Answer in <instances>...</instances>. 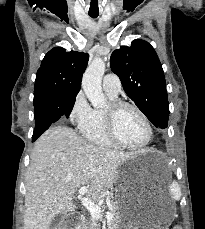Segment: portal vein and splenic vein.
Listing matches in <instances>:
<instances>
[{
    "label": "portal vein and splenic vein",
    "instance_id": "1",
    "mask_svg": "<svg viewBox=\"0 0 205 229\" xmlns=\"http://www.w3.org/2000/svg\"><path fill=\"white\" fill-rule=\"evenodd\" d=\"M88 191V186H83L79 189V195L83 196L84 194H86ZM81 202L82 204L88 209V211L90 212V215L93 219H99L101 216V208L100 206H98L97 204H95L92 200H90L89 198H85V197H81ZM106 219L107 221H110L113 219V214L110 212L106 213Z\"/></svg>",
    "mask_w": 205,
    "mask_h": 229
}]
</instances>
